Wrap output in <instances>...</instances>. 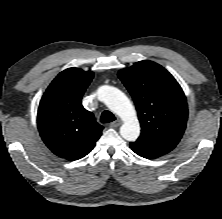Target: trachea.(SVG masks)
<instances>
[{
	"mask_svg": "<svg viewBox=\"0 0 222 219\" xmlns=\"http://www.w3.org/2000/svg\"><path fill=\"white\" fill-rule=\"evenodd\" d=\"M114 120H116V118L110 111H104L101 115L102 123H110Z\"/></svg>",
	"mask_w": 222,
	"mask_h": 219,
	"instance_id": "1",
	"label": "trachea"
}]
</instances>
